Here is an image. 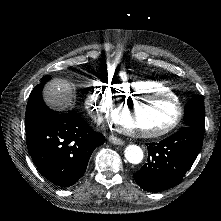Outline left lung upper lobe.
Segmentation results:
<instances>
[{
    "label": "left lung upper lobe",
    "mask_w": 221,
    "mask_h": 221,
    "mask_svg": "<svg viewBox=\"0 0 221 221\" xmlns=\"http://www.w3.org/2000/svg\"><path fill=\"white\" fill-rule=\"evenodd\" d=\"M204 99L202 95L193 97L184 108L186 126H191L199 131L205 130Z\"/></svg>",
    "instance_id": "obj_1"
}]
</instances>
